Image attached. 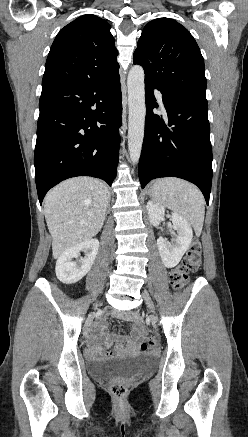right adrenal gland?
<instances>
[{"instance_id":"1","label":"right adrenal gland","mask_w":248,"mask_h":437,"mask_svg":"<svg viewBox=\"0 0 248 437\" xmlns=\"http://www.w3.org/2000/svg\"><path fill=\"white\" fill-rule=\"evenodd\" d=\"M110 211V205H108L107 211H106V215L109 213Z\"/></svg>"}]
</instances>
